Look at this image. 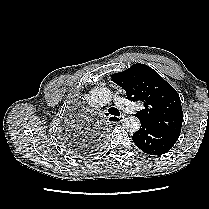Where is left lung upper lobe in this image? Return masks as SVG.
I'll list each match as a JSON object with an SVG mask.
<instances>
[{
  "label": "left lung upper lobe",
  "mask_w": 209,
  "mask_h": 209,
  "mask_svg": "<svg viewBox=\"0 0 209 209\" xmlns=\"http://www.w3.org/2000/svg\"><path fill=\"white\" fill-rule=\"evenodd\" d=\"M112 80L126 91L129 100L144 103L135 115L142 123L180 135L183 111L179 94L155 70L134 64L112 75Z\"/></svg>",
  "instance_id": "left-lung-upper-lobe-1"
}]
</instances>
